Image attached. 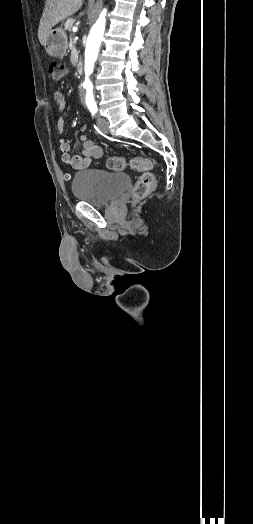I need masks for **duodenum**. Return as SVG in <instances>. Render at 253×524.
Here are the masks:
<instances>
[{
  "label": "duodenum",
  "instance_id": "obj_1",
  "mask_svg": "<svg viewBox=\"0 0 253 524\" xmlns=\"http://www.w3.org/2000/svg\"><path fill=\"white\" fill-rule=\"evenodd\" d=\"M82 71H83V63L81 61H79L76 64V72L77 73H82Z\"/></svg>",
  "mask_w": 253,
  "mask_h": 524
}]
</instances>
